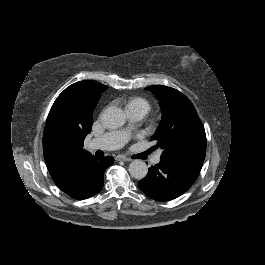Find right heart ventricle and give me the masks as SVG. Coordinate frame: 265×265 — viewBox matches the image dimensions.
<instances>
[{
    "instance_id": "obj_1",
    "label": "right heart ventricle",
    "mask_w": 265,
    "mask_h": 265,
    "mask_svg": "<svg viewBox=\"0 0 265 265\" xmlns=\"http://www.w3.org/2000/svg\"><path fill=\"white\" fill-rule=\"evenodd\" d=\"M116 102L123 104L129 113L142 111L146 114L150 109V104L145 98L128 92L119 94Z\"/></svg>"
}]
</instances>
